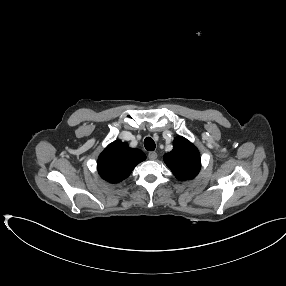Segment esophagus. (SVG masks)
Listing matches in <instances>:
<instances>
[{"mask_svg":"<svg viewBox=\"0 0 286 286\" xmlns=\"http://www.w3.org/2000/svg\"><path fill=\"white\" fill-rule=\"evenodd\" d=\"M157 153L156 152H149V154H148V158L150 159V160H155L156 158H157Z\"/></svg>","mask_w":286,"mask_h":286,"instance_id":"esophagus-1","label":"esophagus"}]
</instances>
